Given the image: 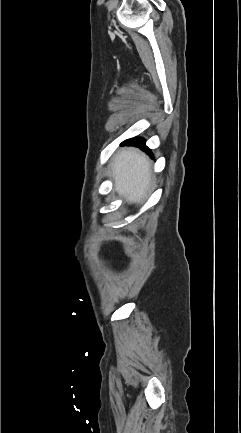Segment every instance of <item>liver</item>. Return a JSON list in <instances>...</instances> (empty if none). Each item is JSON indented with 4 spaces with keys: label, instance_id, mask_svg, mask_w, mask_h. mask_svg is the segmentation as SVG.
Masks as SVG:
<instances>
[{
    "label": "liver",
    "instance_id": "6515ba94",
    "mask_svg": "<svg viewBox=\"0 0 241 433\" xmlns=\"http://www.w3.org/2000/svg\"><path fill=\"white\" fill-rule=\"evenodd\" d=\"M111 174L118 194L130 203L142 202L152 174L148 156L135 148L119 150L112 159Z\"/></svg>",
    "mask_w": 241,
    "mask_h": 433
}]
</instances>
